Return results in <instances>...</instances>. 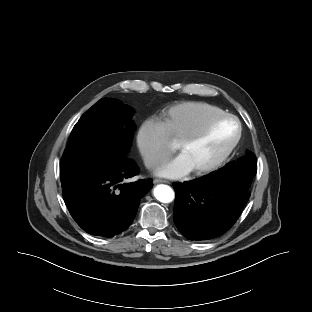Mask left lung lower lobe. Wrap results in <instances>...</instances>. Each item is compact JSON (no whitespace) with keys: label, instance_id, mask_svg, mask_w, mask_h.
Wrapping results in <instances>:
<instances>
[{"label":"left lung lower lobe","instance_id":"left-lung-lower-lobe-1","mask_svg":"<svg viewBox=\"0 0 312 312\" xmlns=\"http://www.w3.org/2000/svg\"><path fill=\"white\" fill-rule=\"evenodd\" d=\"M173 219L188 240H208L225 233L248 202L250 191L226 174L175 183Z\"/></svg>","mask_w":312,"mask_h":312}]
</instances>
